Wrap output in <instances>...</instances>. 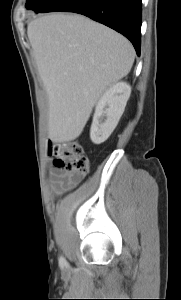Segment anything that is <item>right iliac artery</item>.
Listing matches in <instances>:
<instances>
[{
	"mask_svg": "<svg viewBox=\"0 0 181 300\" xmlns=\"http://www.w3.org/2000/svg\"><path fill=\"white\" fill-rule=\"evenodd\" d=\"M59 264H60L61 267H64V266L67 265V262H66V260H65L64 257L61 256V257L59 258Z\"/></svg>",
	"mask_w": 181,
	"mask_h": 300,
	"instance_id": "right-iliac-artery-1",
	"label": "right iliac artery"
}]
</instances>
